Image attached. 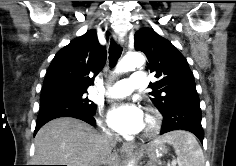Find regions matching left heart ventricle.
Masks as SVG:
<instances>
[{
	"label": "left heart ventricle",
	"instance_id": "left-heart-ventricle-1",
	"mask_svg": "<svg viewBox=\"0 0 236 166\" xmlns=\"http://www.w3.org/2000/svg\"><path fill=\"white\" fill-rule=\"evenodd\" d=\"M147 125V119H146V124H145V126Z\"/></svg>",
	"mask_w": 236,
	"mask_h": 166
}]
</instances>
